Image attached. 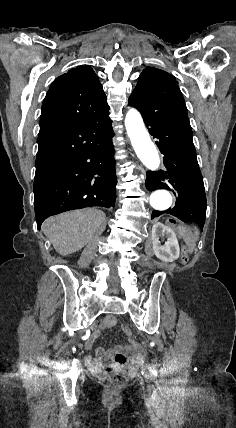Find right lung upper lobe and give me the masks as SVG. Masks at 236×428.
I'll return each mask as SVG.
<instances>
[{"label": "right lung upper lobe", "instance_id": "right-lung-upper-lobe-1", "mask_svg": "<svg viewBox=\"0 0 236 428\" xmlns=\"http://www.w3.org/2000/svg\"><path fill=\"white\" fill-rule=\"evenodd\" d=\"M109 112L103 87L90 66L81 65L59 76L42 105L39 135L79 125Z\"/></svg>", "mask_w": 236, "mask_h": 428}]
</instances>
